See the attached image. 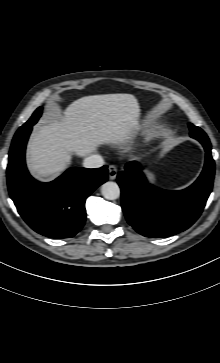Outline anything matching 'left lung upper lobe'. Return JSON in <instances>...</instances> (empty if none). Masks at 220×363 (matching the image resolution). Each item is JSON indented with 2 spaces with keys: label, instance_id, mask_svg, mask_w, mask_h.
<instances>
[{
  "label": "left lung upper lobe",
  "instance_id": "obj_1",
  "mask_svg": "<svg viewBox=\"0 0 220 363\" xmlns=\"http://www.w3.org/2000/svg\"><path fill=\"white\" fill-rule=\"evenodd\" d=\"M189 128H190V135L192 137H203V138H207V135L205 134V132L197 127V126H194L193 124H189Z\"/></svg>",
  "mask_w": 220,
  "mask_h": 363
}]
</instances>
